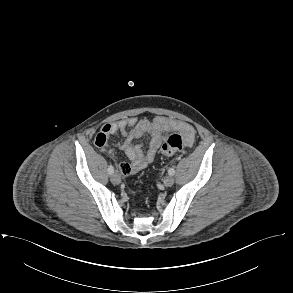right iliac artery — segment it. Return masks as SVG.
<instances>
[{"label":"right iliac artery","mask_w":293,"mask_h":293,"mask_svg":"<svg viewBox=\"0 0 293 293\" xmlns=\"http://www.w3.org/2000/svg\"><path fill=\"white\" fill-rule=\"evenodd\" d=\"M108 173H109V174L114 173V167H113L112 165H110V166L108 167Z\"/></svg>","instance_id":"obj_1"}]
</instances>
